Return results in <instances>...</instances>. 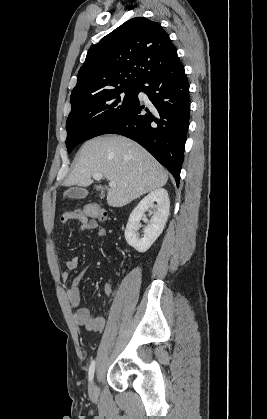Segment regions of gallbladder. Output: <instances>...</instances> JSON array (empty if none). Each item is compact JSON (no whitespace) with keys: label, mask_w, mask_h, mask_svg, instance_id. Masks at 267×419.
<instances>
[{"label":"gallbladder","mask_w":267,"mask_h":419,"mask_svg":"<svg viewBox=\"0 0 267 419\" xmlns=\"http://www.w3.org/2000/svg\"><path fill=\"white\" fill-rule=\"evenodd\" d=\"M67 195L70 198H75V199H83L86 197L87 192L86 190H84L81 187H76V188H71L67 191Z\"/></svg>","instance_id":"gallbladder-1"}]
</instances>
